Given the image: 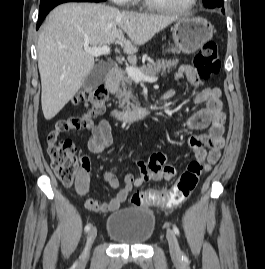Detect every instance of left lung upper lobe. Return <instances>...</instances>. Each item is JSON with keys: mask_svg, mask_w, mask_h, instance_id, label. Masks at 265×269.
<instances>
[{"mask_svg": "<svg viewBox=\"0 0 265 269\" xmlns=\"http://www.w3.org/2000/svg\"><path fill=\"white\" fill-rule=\"evenodd\" d=\"M204 4L208 8L223 7V0H203Z\"/></svg>", "mask_w": 265, "mask_h": 269, "instance_id": "1", "label": "left lung upper lobe"}]
</instances>
